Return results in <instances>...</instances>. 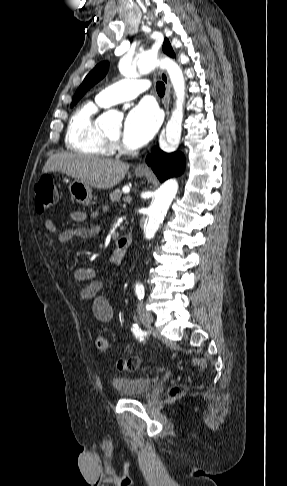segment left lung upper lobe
<instances>
[{
    "label": "left lung upper lobe",
    "instance_id": "1",
    "mask_svg": "<svg viewBox=\"0 0 287 486\" xmlns=\"http://www.w3.org/2000/svg\"><path fill=\"white\" fill-rule=\"evenodd\" d=\"M163 52L169 56H175L173 49L167 39H165L163 44ZM107 71L108 62L105 61L96 65L94 69L90 71V73L85 77L84 81L77 89L73 97L71 107H73L92 86L99 82L106 75Z\"/></svg>",
    "mask_w": 287,
    "mask_h": 486
}]
</instances>
